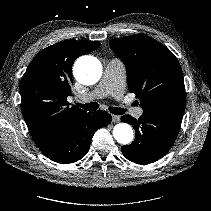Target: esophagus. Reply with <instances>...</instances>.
<instances>
[{
    "label": "esophagus",
    "instance_id": "34e87169",
    "mask_svg": "<svg viewBox=\"0 0 211 211\" xmlns=\"http://www.w3.org/2000/svg\"><path fill=\"white\" fill-rule=\"evenodd\" d=\"M120 121V117L116 115H112V122L113 123H118Z\"/></svg>",
    "mask_w": 211,
    "mask_h": 211
}]
</instances>
